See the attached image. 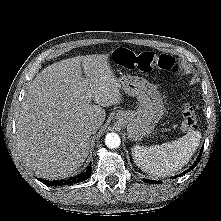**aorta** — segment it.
<instances>
[{
	"mask_svg": "<svg viewBox=\"0 0 221 221\" xmlns=\"http://www.w3.org/2000/svg\"><path fill=\"white\" fill-rule=\"evenodd\" d=\"M120 143H121L120 137L116 133H108L105 136V144L110 149L119 147Z\"/></svg>",
	"mask_w": 221,
	"mask_h": 221,
	"instance_id": "762f6f07",
	"label": "aorta"
}]
</instances>
